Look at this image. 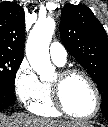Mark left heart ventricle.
<instances>
[{
  "mask_svg": "<svg viewBox=\"0 0 108 127\" xmlns=\"http://www.w3.org/2000/svg\"><path fill=\"white\" fill-rule=\"evenodd\" d=\"M57 78H54L55 81ZM63 100L67 109L78 116H87L95 107V95L89 83L80 75L70 76L63 86Z\"/></svg>",
  "mask_w": 108,
  "mask_h": 127,
  "instance_id": "obj_1",
  "label": "left heart ventricle"
}]
</instances>
